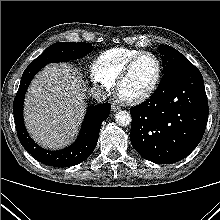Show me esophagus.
<instances>
[{"label":"esophagus","instance_id":"obj_1","mask_svg":"<svg viewBox=\"0 0 220 220\" xmlns=\"http://www.w3.org/2000/svg\"><path fill=\"white\" fill-rule=\"evenodd\" d=\"M119 109H120V107L117 106L116 104H112V105H111V110H112L113 112H116V111H118Z\"/></svg>","mask_w":220,"mask_h":220}]
</instances>
